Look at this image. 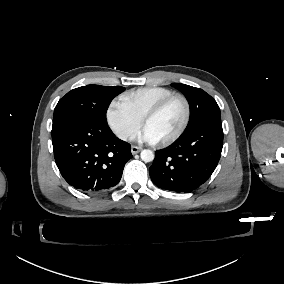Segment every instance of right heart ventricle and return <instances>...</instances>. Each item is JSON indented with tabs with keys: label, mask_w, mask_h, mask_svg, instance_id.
I'll return each mask as SVG.
<instances>
[{
	"label": "right heart ventricle",
	"mask_w": 284,
	"mask_h": 284,
	"mask_svg": "<svg viewBox=\"0 0 284 284\" xmlns=\"http://www.w3.org/2000/svg\"><path fill=\"white\" fill-rule=\"evenodd\" d=\"M172 94L174 91L166 87L144 86L123 93L119 103L142 119L149 109Z\"/></svg>",
	"instance_id": "e07e8e85"
}]
</instances>
